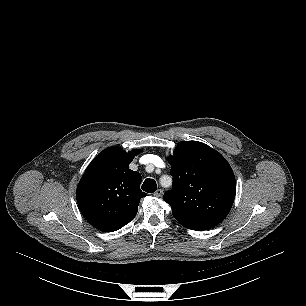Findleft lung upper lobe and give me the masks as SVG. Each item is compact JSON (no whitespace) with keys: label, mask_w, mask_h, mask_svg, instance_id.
Listing matches in <instances>:
<instances>
[{"label":"left lung upper lobe","mask_w":306,"mask_h":306,"mask_svg":"<svg viewBox=\"0 0 306 306\" xmlns=\"http://www.w3.org/2000/svg\"><path fill=\"white\" fill-rule=\"evenodd\" d=\"M172 190L163 198L184 227L208 230L229 213L236 193L234 173L216 150L197 141L179 144L168 158Z\"/></svg>","instance_id":"1"}]
</instances>
